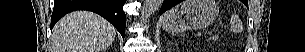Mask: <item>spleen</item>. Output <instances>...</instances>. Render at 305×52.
I'll return each instance as SVG.
<instances>
[{"label":"spleen","instance_id":"3e777b00","mask_svg":"<svg viewBox=\"0 0 305 52\" xmlns=\"http://www.w3.org/2000/svg\"><path fill=\"white\" fill-rule=\"evenodd\" d=\"M230 23H231V30L234 32H238L239 29L241 28V26L239 24V20L237 18H235L234 16L231 17Z\"/></svg>","mask_w":305,"mask_h":52}]
</instances>
